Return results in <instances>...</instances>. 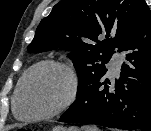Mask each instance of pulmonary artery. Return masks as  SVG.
Listing matches in <instances>:
<instances>
[{
  "mask_svg": "<svg viewBox=\"0 0 151 131\" xmlns=\"http://www.w3.org/2000/svg\"><path fill=\"white\" fill-rule=\"evenodd\" d=\"M120 66L121 57L119 55H115L109 63V68L113 74H117L119 72Z\"/></svg>",
  "mask_w": 151,
  "mask_h": 131,
  "instance_id": "1",
  "label": "pulmonary artery"
}]
</instances>
